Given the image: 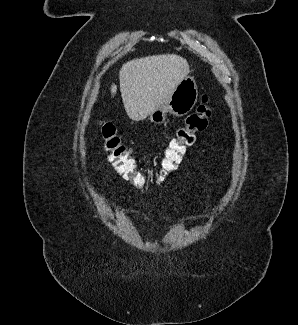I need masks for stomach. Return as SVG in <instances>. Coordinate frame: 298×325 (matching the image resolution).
<instances>
[{
  "mask_svg": "<svg viewBox=\"0 0 298 325\" xmlns=\"http://www.w3.org/2000/svg\"><path fill=\"white\" fill-rule=\"evenodd\" d=\"M198 100V86L195 80V76H185L173 90L172 94H169L166 102L158 106L154 112L149 114L151 122L161 124L166 118V114H174V116H184L187 112H190L194 108Z\"/></svg>",
  "mask_w": 298,
  "mask_h": 325,
  "instance_id": "0dacf381",
  "label": "stomach"
}]
</instances>
